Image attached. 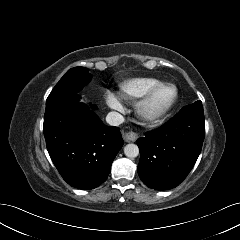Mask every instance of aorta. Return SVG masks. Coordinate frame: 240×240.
Listing matches in <instances>:
<instances>
[{"label":"aorta","instance_id":"obj_1","mask_svg":"<svg viewBox=\"0 0 240 240\" xmlns=\"http://www.w3.org/2000/svg\"><path fill=\"white\" fill-rule=\"evenodd\" d=\"M124 154L129 158H135L139 155V148L136 144H127L124 147Z\"/></svg>","mask_w":240,"mask_h":240}]
</instances>
